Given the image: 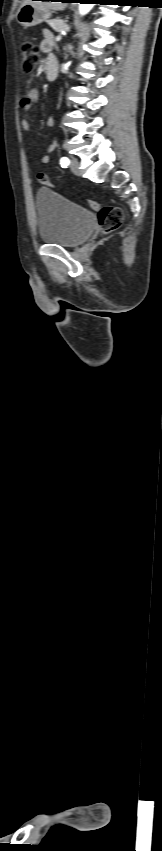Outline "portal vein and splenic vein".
<instances>
[{"instance_id":"obj_1","label":"portal vein and splenic vein","mask_w":162,"mask_h":851,"mask_svg":"<svg viewBox=\"0 0 162 851\" xmlns=\"http://www.w3.org/2000/svg\"><path fill=\"white\" fill-rule=\"evenodd\" d=\"M61 38H62V36H61V35H58V36L56 37V39H55V40H56V41H60V40H61Z\"/></svg>"}]
</instances>
